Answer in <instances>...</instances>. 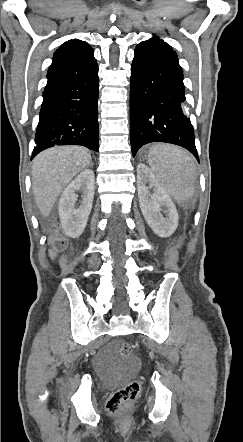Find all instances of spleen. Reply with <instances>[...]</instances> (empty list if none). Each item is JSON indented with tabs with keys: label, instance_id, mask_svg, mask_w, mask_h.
Returning a JSON list of instances; mask_svg holds the SVG:
<instances>
[{
	"label": "spleen",
	"instance_id": "spleen-1",
	"mask_svg": "<svg viewBox=\"0 0 243 442\" xmlns=\"http://www.w3.org/2000/svg\"><path fill=\"white\" fill-rule=\"evenodd\" d=\"M148 164L159 185L170 195L176 197L184 192H192L193 185L188 183L195 176L194 160L183 151L170 145H155L148 152ZM177 202L179 209L186 207V195Z\"/></svg>",
	"mask_w": 243,
	"mask_h": 442
}]
</instances>
